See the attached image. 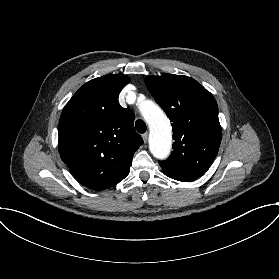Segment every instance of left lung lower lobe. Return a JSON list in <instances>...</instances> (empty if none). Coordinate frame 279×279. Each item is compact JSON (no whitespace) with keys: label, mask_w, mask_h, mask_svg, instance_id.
I'll use <instances>...</instances> for the list:
<instances>
[{"label":"left lung lower lobe","mask_w":279,"mask_h":279,"mask_svg":"<svg viewBox=\"0 0 279 279\" xmlns=\"http://www.w3.org/2000/svg\"><path fill=\"white\" fill-rule=\"evenodd\" d=\"M163 173H164L166 176H168V177H170V178H172V179L181 181L179 178H176V177H174L173 175H171V174H169V173H167V172H164V171H163Z\"/></svg>","instance_id":"obj_1"}]
</instances>
